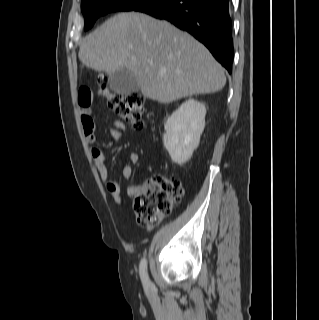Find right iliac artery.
Listing matches in <instances>:
<instances>
[{"mask_svg": "<svg viewBox=\"0 0 319 320\" xmlns=\"http://www.w3.org/2000/svg\"><path fill=\"white\" fill-rule=\"evenodd\" d=\"M140 277H141L143 285L145 287H149L151 283H150L149 276L147 273V261L145 258H143L140 262Z\"/></svg>", "mask_w": 319, "mask_h": 320, "instance_id": "1", "label": "right iliac artery"}]
</instances>
